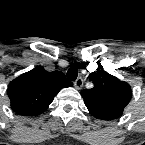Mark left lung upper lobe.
Here are the masks:
<instances>
[{"label":"left lung upper lobe","mask_w":145,"mask_h":145,"mask_svg":"<svg viewBox=\"0 0 145 145\" xmlns=\"http://www.w3.org/2000/svg\"><path fill=\"white\" fill-rule=\"evenodd\" d=\"M94 87L81 92L90 114L101 120H114L122 116L132 97L131 87L104 70L90 74Z\"/></svg>","instance_id":"1"}]
</instances>
